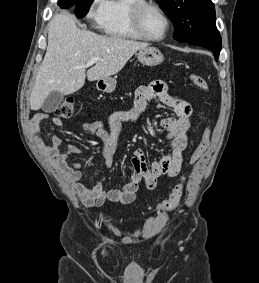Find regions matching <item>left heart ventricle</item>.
I'll list each match as a JSON object with an SVG mask.
<instances>
[{
    "instance_id": "left-heart-ventricle-1",
    "label": "left heart ventricle",
    "mask_w": 259,
    "mask_h": 283,
    "mask_svg": "<svg viewBox=\"0 0 259 283\" xmlns=\"http://www.w3.org/2000/svg\"><path fill=\"white\" fill-rule=\"evenodd\" d=\"M144 27L147 34L154 38L162 37L167 29L165 19L154 9H149L144 14Z\"/></svg>"
}]
</instances>
